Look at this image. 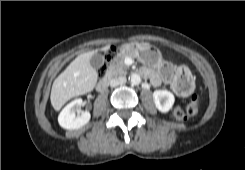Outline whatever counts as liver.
I'll list each match as a JSON object with an SVG mask.
<instances>
[{
	"instance_id": "liver-1",
	"label": "liver",
	"mask_w": 245,
	"mask_h": 170,
	"mask_svg": "<svg viewBox=\"0 0 245 170\" xmlns=\"http://www.w3.org/2000/svg\"><path fill=\"white\" fill-rule=\"evenodd\" d=\"M148 45L149 43H141ZM110 45L101 48V51H108ZM98 50L89 51L77 56L67 68L54 80L50 101L56 111L70 99L92 91L97 83L98 73L90 65L91 57Z\"/></svg>"
}]
</instances>
